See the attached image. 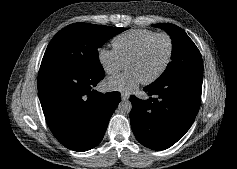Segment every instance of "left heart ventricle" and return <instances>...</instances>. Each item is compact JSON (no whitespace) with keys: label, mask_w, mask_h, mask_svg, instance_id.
Masks as SVG:
<instances>
[{"label":"left heart ventricle","mask_w":237,"mask_h":169,"mask_svg":"<svg viewBox=\"0 0 237 169\" xmlns=\"http://www.w3.org/2000/svg\"><path fill=\"white\" fill-rule=\"evenodd\" d=\"M169 50L166 38L157 37L152 40L142 55L131 61L127 68L133 70L141 81L156 74L164 64Z\"/></svg>","instance_id":"1"}]
</instances>
